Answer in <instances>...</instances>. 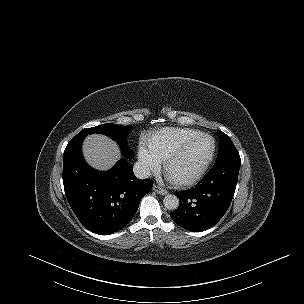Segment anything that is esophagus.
Listing matches in <instances>:
<instances>
[{"label": "esophagus", "instance_id": "34e87169", "mask_svg": "<svg viewBox=\"0 0 304 304\" xmlns=\"http://www.w3.org/2000/svg\"><path fill=\"white\" fill-rule=\"evenodd\" d=\"M153 191H155V192H156L157 194H159V195H166V194H168V191H167V190L161 188V187L158 186V185H154V186H153Z\"/></svg>", "mask_w": 304, "mask_h": 304}]
</instances>
